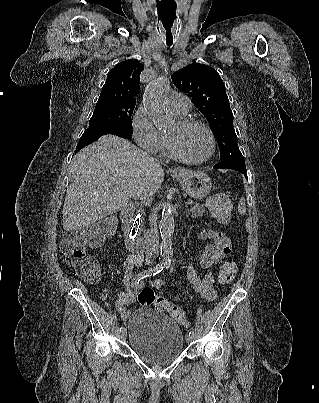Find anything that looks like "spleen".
I'll use <instances>...</instances> for the list:
<instances>
[{
    "mask_svg": "<svg viewBox=\"0 0 319 403\" xmlns=\"http://www.w3.org/2000/svg\"><path fill=\"white\" fill-rule=\"evenodd\" d=\"M238 212H239V214H241V215H245V214H246L245 198H243V197L239 200V203H238Z\"/></svg>",
    "mask_w": 319,
    "mask_h": 403,
    "instance_id": "1",
    "label": "spleen"
}]
</instances>
